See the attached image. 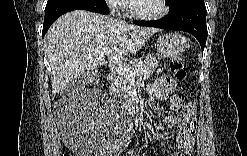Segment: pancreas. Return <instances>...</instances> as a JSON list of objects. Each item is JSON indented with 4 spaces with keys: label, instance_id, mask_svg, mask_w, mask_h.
<instances>
[{
    "label": "pancreas",
    "instance_id": "1",
    "mask_svg": "<svg viewBox=\"0 0 247 156\" xmlns=\"http://www.w3.org/2000/svg\"><path fill=\"white\" fill-rule=\"evenodd\" d=\"M158 65V60L152 56L151 54L142 57L139 61L132 65H127L131 70L138 71L139 75L144 79L149 78L155 71ZM134 79L126 76L120 75L118 73H114L110 78V90L115 94L127 99V101L131 102V92L133 89L132 81Z\"/></svg>",
    "mask_w": 247,
    "mask_h": 156
}]
</instances>
